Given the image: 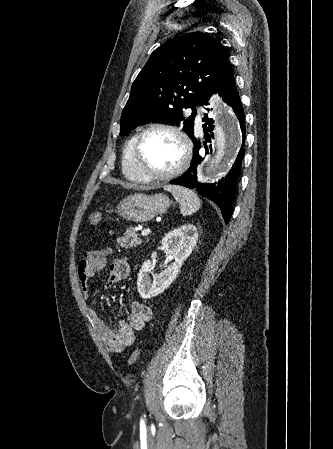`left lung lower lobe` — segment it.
I'll use <instances>...</instances> for the list:
<instances>
[{"label":"left lung lower lobe","mask_w":333,"mask_h":449,"mask_svg":"<svg viewBox=\"0 0 333 449\" xmlns=\"http://www.w3.org/2000/svg\"><path fill=\"white\" fill-rule=\"evenodd\" d=\"M216 93H219V95L223 97V100L234 109L240 122V127L243 134L242 147L238 153L232 169L226 175V177L222 178V180L218 181V183L205 184L197 182V169L202 162L203 157L199 153L201 142L194 136L191 138L194 143V156L192 158L189 169L183 175L172 180L170 183L182 185L190 189L196 188L197 192H199L204 197L212 200L219 206L225 222L228 223L233 213L232 204L235 197L237 181L241 170L242 158L244 155L245 114L241 105L240 97L236 90L233 74H231L227 78V80L220 86L219 90ZM203 122H205V124L203 125L205 140L206 142H210V138L213 137V119L208 118V115L205 114ZM208 132H210V134Z\"/></svg>","instance_id":"obj_1"}]
</instances>
